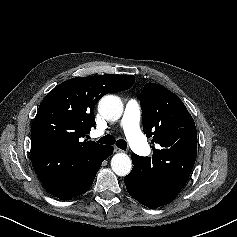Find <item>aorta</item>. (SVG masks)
Returning <instances> with one entry per match:
<instances>
[{
  "label": "aorta",
  "mask_w": 237,
  "mask_h": 237,
  "mask_svg": "<svg viewBox=\"0 0 237 237\" xmlns=\"http://www.w3.org/2000/svg\"><path fill=\"white\" fill-rule=\"evenodd\" d=\"M98 111L107 120L115 121L123 113V105L119 97L106 95L102 97L98 104ZM111 168L118 176H126L130 173L132 162L125 153H117L112 157Z\"/></svg>",
  "instance_id": "aorta-1"
}]
</instances>
